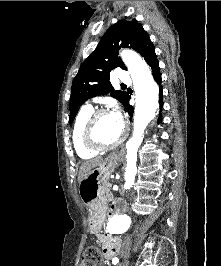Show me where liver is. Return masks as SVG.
<instances>
[{
    "instance_id": "6515ba94",
    "label": "liver",
    "mask_w": 221,
    "mask_h": 266,
    "mask_svg": "<svg viewBox=\"0 0 221 266\" xmlns=\"http://www.w3.org/2000/svg\"><path fill=\"white\" fill-rule=\"evenodd\" d=\"M103 162L102 157H96L93 159H90L88 161H85L81 164L79 175H78V181L80 180L93 168L99 166Z\"/></svg>"
}]
</instances>
